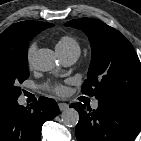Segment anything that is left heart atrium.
<instances>
[{"instance_id": "left-heart-atrium-1", "label": "left heart atrium", "mask_w": 141, "mask_h": 141, "mask_svg": "<svg viewBox=\"0 0 141 141\" xmlns=\"http://www.w3.org/2000/svg\"><path fill=\"white\" fill-rule=\"evenodd\" d=\"M48 88L57 95H64L66 92L65 87L60 84L52 85L49 86Z\"/></svg>"}]
</instances>
